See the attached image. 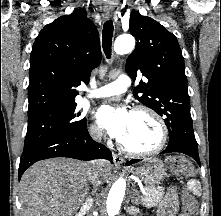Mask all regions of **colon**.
<instances>
[{
  "mask_svg": "<svg viewBox=\"0 0 221 216\" xmlns=\"http://www.w3.org/2000/svg\"><path fill=\"white\" fill-rule=\"evenodd\" d=\"M168 166L173 172H182L188 170L186 161L180 157L170 158L168 160ZM181 200L183 205L182 215L196 216L197 214L196 201L187 189H184L182 191Z\"/></svg>",
  "mask_w": 221,
  "mask_h": 216,
  "instance_id": "obj_1",
  "label": "colon"
}]
</instances>
